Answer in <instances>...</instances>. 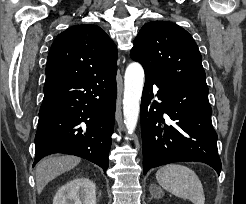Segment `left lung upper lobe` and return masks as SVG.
<instances>
[{
  "label": "left lung upper lobe",
  "mask_w": 246,
  "mask_h": 204,
  "mask_svg": "<svg viewBox=\"0 0 246 204\" xmlns=\"http://www.w3.org/2000/svg\"><path fill=\"white\" fill-rule=\"evenodd\" d=\"M130 55L141 63L146 76L206 85L199 49L191 35L175 23L145 24Z\"/></svg>",
  "instance_id": "obj_1"
}]
</instances>
